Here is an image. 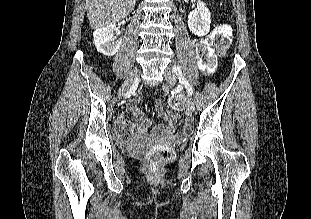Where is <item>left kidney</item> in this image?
<instances>
[{"instance_id":"left-kidney-1","label":"left kidney","mask_w":311,"mask_h":219,"mask_svg":"<svg viewBox=\"0 0 311 219\" xmlns=\"http://www.w3.org/2000/svg\"><path fill=\"white\" fill-rule=\"evenodd\" d=\"M210 24V11L206 5L199 0L197 2V8L188 15V27L194 35L202 37L209 33Z\"/></svg>"}]
</instances>
